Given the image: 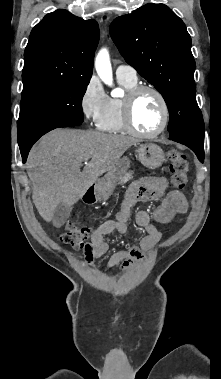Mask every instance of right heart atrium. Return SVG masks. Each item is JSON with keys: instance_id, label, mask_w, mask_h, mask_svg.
I'll return each instance as SVG.
<instances>
[{"instance_id": "obj_1", "label": "right heart atrium", "mask_w": 221, "mask_h": 379, "mask_svg": "<svg viewBox=\"0 0 221 379\" xmlns=\"http://www.w3.org/2000/svg\"><path fill=\"white\" fill-rule=\"evenodd\" d=\"M108 99L99 81L94 77L90 78L80 98V108L84 117L97 125L105 113Z\"/></svg>"}]
</instances>
